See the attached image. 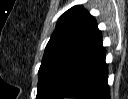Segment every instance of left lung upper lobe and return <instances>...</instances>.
I'll return each mask as SVG.
<instances>
[{"label": "left lung upper lobe", "mask_w": 128, "mask_h": 99, "mask_svg": "<svg viewBox=\"0 0 128 99\" xmlns=\"http://www.w3.org/2000/svg\"><path fill=\"white\" fill-rule=\"evenodd\" d=\"M97 30V23L82 6L67 10L58 20L39 69L36 99H42L55 73Z\"/></svg>", "instance_id": "1"}]
</instances>
